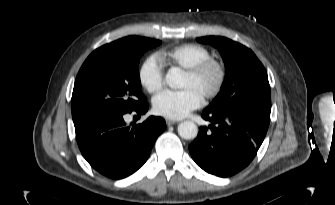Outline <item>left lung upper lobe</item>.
<instances>
[{"label": "left lung upper lobe", "instance_id": "1", "mask_svg": "<svg viewBox=\"0 0 335 205\" xmlns=\"http://www.w3.org/2000/svg\"><path fill=\"white\" fill-rule=\"evenodd\" d=\"M196 40L216 47L226 69L220 92L205 110L245 109L270 117L268 76L256 55L249 48L225 37L208 36Z\"/></svg>", "mask_w": 335, "mask_h": 205}]
</instances>
